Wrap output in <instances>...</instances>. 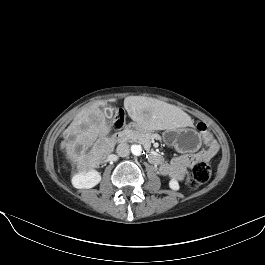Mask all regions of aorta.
<instances>
[{"mask_svg": "<svg viewBox=\"0 0 265 265\" xmlns=\"http://www.w3.org/2000/svg\"><path fill=\"white\" fill-rule=\"evenodd\" d=\"M131 152L134 156H140L142 154V147L138 144H133L131 146Z\"/></svg>", "mask_w": 265, "mask_h": 265, "instance_id": "obj_1", "label": "aorta"}]
</instances>
